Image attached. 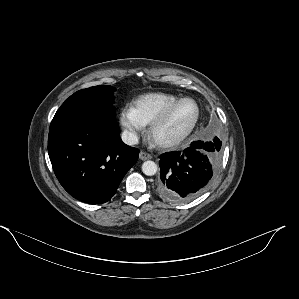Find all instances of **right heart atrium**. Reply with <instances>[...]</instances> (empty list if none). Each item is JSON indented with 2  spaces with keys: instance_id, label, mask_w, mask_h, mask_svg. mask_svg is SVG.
<instances>
[{
  "instance_id": "obj_1",
  "label": "right heart atrium",
  "mask_w": 299,
  "mask_h": 299,
  "mask_svg": "<svg viewBox=\"0 0 299 299\" xmlns=\"http://www.w3.org/2000/svg\"><path fill=\"white\" fill-rule=\"evenodd\" d=\"M119 123L129 142H136L145 130V124L138 118L134 109L124 107L119 113Z\"/></svg>"
}]
</instances>
